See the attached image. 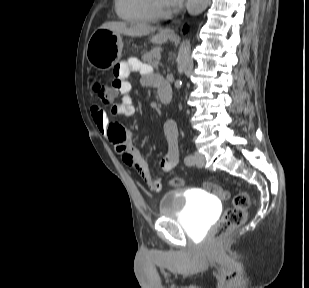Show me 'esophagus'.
<instances>
[{
  "label": "esophagus",
  "mask_w": 309,
  "mask_h": 288,
  "mask_svg": "<svg viewBox=\"0 0 309 288\" xmlns=\"http://www.w3.org/2000/svg\"><path fill=\"white\" fill-rule=\"evenodd\" d=\"M161 33L163 35H172L174 33V30L172 27H166L161 31Z\"/></svg>",
  "instance_id": "1"
}]
</instances>
